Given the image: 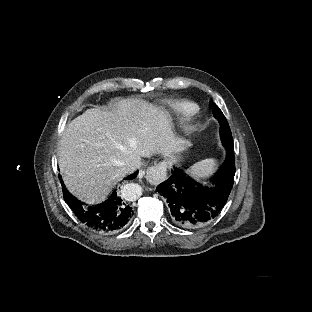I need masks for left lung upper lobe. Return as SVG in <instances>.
<instances>
[{
	"mask_svg": "<svg viewBox=\"0 0 312 312\" xmlns=\"http://www.w3.org/2000/svg\"><path fill=\"white\" fill-rule=\"evenodd\" d=\"M212 112H213L214 117L218 119L221 125L220 134H221V139H222L223 144L226 146H233V138H232L229 124L225 116L223 115L222 111L215 103H212Z\"/></svg>",
	"mask_w": 312,
	"mask_h": 312,
	"instance_id": "5c2ea615",
	"label": "left lung upper lobe"
}]
</instances>
